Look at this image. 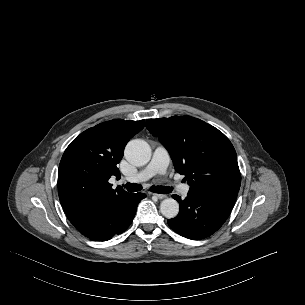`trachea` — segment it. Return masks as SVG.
Wrapping results in <instances>:
<instances>
[{
    "mask_svg": "<svg viewBox=\"0 0 305 305\" xmlns=\"http://www.w3.org/2000/svg\"><path fill=\"white\" fill-rule=\"evenodd\" d=\"M125 188L129 192H137L142 189V186L140 184L136 183H126ZM152 192L159 193V194H168L172 192L173 188L172 187H167V186H152L150 188Z\"/></svg>",
    "mask_w": 305,
    "mask_h": 305,
    "instance_id": "trachea-1",
    "label": "trachea"
}]
</instances>
